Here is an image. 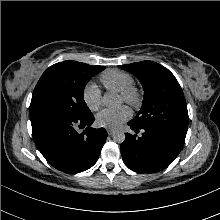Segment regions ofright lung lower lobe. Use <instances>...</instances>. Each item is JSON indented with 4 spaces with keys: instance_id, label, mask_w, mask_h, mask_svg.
<instances>
[{
    "instance_id": "obj_1",
    "label": "right lung lower lobe",
    "mask_w": 220,
    "mask_h": 220,
    "mask_svg": "<svg viewBox=\"0 0 220 220\" xmlns=\"http://www.w3.org/2000/svg\"><path fill=\"white\" fill-rule=\"evenodd\" d=\"M30 119L37 148L56 169L78 173L98 160L107 132L104 128L89 127L95 120L92 113L75 118L46 107H35L30 108ZM76 125L88 127L79 134Z\"/></svg>"
}]
</instances>
